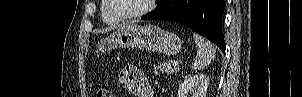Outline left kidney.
<instances>
[{
	"mask_svg": "<svg viewBox=\"0 0 302 97\" xmlns=\"http://www.w3.org/2000/svg\"><path fill=\"white\" fill-rule=\"evenodd\" d=\"M208 85L206 75H189L179 85L177 97H206Z\"/></svg>",
	"mask_w": 302,
	"mask_h": 97,
	"instance_id": "5707ae66",
	"label": "left kidney"
}]
</instances>
